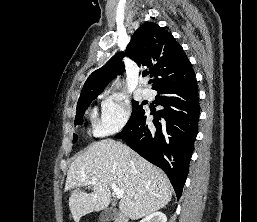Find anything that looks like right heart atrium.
<instances>
[{
	"instance_id": "right-heart-atrium-1",
	"label": "right heart atrium",
	"mask_w": 257,
	"mask_h": 222,
	"mask_svg": "<svg viewBox=\"0 0 257 222\" xmlns=\"http://www.w3.org/2000/svg\"><path fill=\"white\" fill-rule=\"evenodd\" d=\"M107 106L116 109L121 115V122L115 126H107L102 121H95L94 134L97 136H105L120 131L129 121L131 116L130 104L121 97H106L104 99V108Z\"/></svg>"
}]
</instances>
